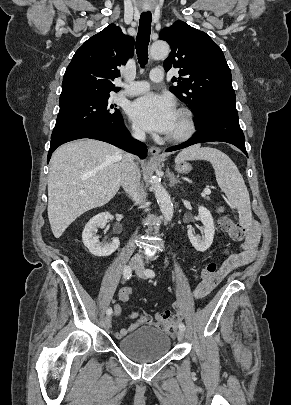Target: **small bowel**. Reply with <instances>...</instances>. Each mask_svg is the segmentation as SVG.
<instances>
[{
	"label": "small bowel",
	"instance_id": "c3829d8e",
	"mask_svg": "<svg viewBox=\"0 0 291 405\" xmlns=\"http://www.w3.org/2000/svg\"><path fill=\"white\" fill-rule=\"evenodd\" d=\"M260 239V227L257 223H251L248 227V235L245 242L239 249L226 251V259L219 268L215 278L210 281H201L193 292L196 299H201L207 296L217 285V283L227 276L233 270L249 264L257 253V246ZM174 313L170 310H164L156 313L151 317L145 312H133L127 315V318L133 320L128 327L122 328L115 332V337L121 339L137 329L141 325L155 326L167 334H174L177 330L178 323L182 319V305L180 302H174ZM120 306H115L113 314L115 316L122 315Z\"/></svg>",
	"mask_w": 291,
	"mask_h": 405
}]
</instances>
